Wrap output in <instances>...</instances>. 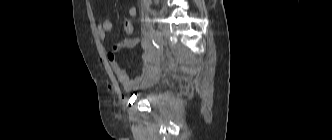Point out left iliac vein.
<instances>
[{"mask_svg":"<svg viewBox=\"0 0 332 140\" xmlns=\"http://www.w3.org/2000/svg\"><path fill=\"white\" fill-rule=\"evenodd\" d=\"M154 39L159 45H162V43H163V34L160 30L155 31Z\"/></svg>","mask_w":332,"mask_h":140,"instance_id":"left-iliac-vein-1","label":"left iliac vein"}]
</instances>
